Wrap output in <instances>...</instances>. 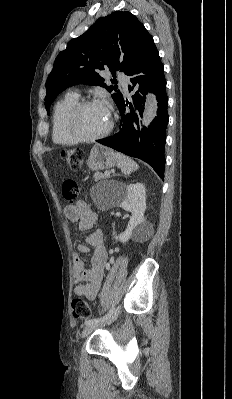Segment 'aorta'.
<instances>
[{
    "instance_id": "1",
    "label": "aorta",
    "mask_w": 232,
    "mask_h": 399,
    "mask_svg": "<svg viewBox=\"0 0 232 399\" xmlns=\"http://www.w3.org/2000/svg\"><path fill=\"white\" fill-rule=\"evenodd\" d=\"M157 110H158V106H157L156 97L153 94L149 93L147 95L145 111H144L143 121H142V124L144 126H147L149 123H151V121L157 115Z\"/></svg>"
}]
</instances>
